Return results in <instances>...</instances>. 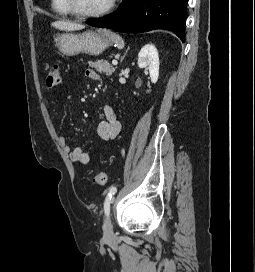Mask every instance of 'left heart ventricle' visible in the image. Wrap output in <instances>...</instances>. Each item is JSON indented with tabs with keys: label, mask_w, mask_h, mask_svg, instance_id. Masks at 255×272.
<instances>
[{
	"label": "left heart ventricle",
	"mask_w": 255,
	"mask_h": 272,
	"mask_svg": "<svg viewBox=\"0 0 255 272\" xmlns=\"http://www.w3.org/2000/svg\"><path fill=\"white\" fill-rule=\"evenodd\" d=\"M109 0H73L75 7L81 12H96L103 9Z\"/></svg>",
	"instance_id": "obj_1"
}]
</instances>
